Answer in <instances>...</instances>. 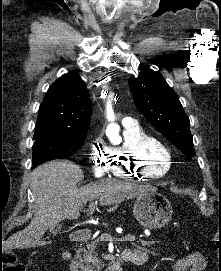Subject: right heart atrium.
Masks as SVG:
<instances>
[{
  "instance_id": "right-heart-atrium-1",
  "label": "right heart atrium",
  "mask_w": 221,
  "mask_h": 271,
  "mask_svg": "<svg viewBox=\"0 0 221 271\" xmlns=\"http://www.w3.org/2000/svg\"><path fill=\"white\" fill-rule=\"evenodd\" d=\"M102 151L103 146H94V151L91 153L94 157H90V162H92L90 165L92 170H96L95 177H106L107 173L115 172L110 171V166H112V161H117V154L113 151Z\"/></svg>"
}]
</instances>
